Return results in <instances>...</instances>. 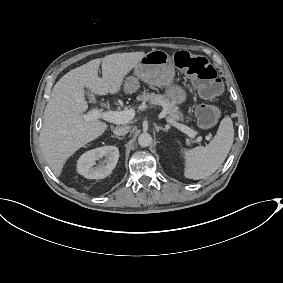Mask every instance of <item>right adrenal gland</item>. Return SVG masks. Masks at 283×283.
<instances>
[{
	"label": "right adrenal gland",
	"instance_id": "1",
	"mask_svg": "<svg viewBox=\"0 0 283 283\" xmlns=\"http://www.w3.org/2000/svg\"><path fill=\"white\" fill-rule=\"evenodd\" d=\"M111 138H117V139L123 140L125 138V136L119 137L117 135H111Z\"/></svg>",
	"mask_w": 283,
	"mask_h": 283
}]
</instances>
